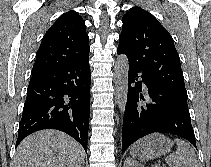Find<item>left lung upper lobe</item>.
Segmentation results:
<instances>
[{
  "label": "left lung upper lobe",
  "mask_w": 211,
  "mask_h": 167,
  "mask_svg": "<svg viewBox=\"0 0 211 167\" xmlns=\"http://www.w3.org/2000/svg\"><path fill=\"white\" fill-rule=\"evenodd\" d=\"M122 22L118 48L129 63L157 83L187 96L180 58L170 33L140 7L130 8Z\"/></svg>",
  "instance_id": "left-lung-upper-lobe-1"
}]
</instances>
